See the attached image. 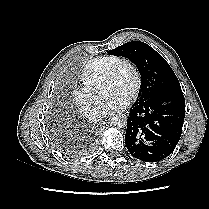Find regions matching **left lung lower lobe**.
<instances>
[{"instance_id":"left-lung-lower-lobe-1","label":"left lung lower lobe","mask_w":209,"mask_h":209,"mask_svg":"<svg viewBox=\"0 0 209 209\" xmlns=\"http://www.w3.org/2000/svg\"><path fill=\"white\" fill-rule=\"evenodd\" d=\"M185 99L181 87L160 92L130 109L125 144L143 162H158L175 149L182 132Z\"/></svg>"}]
</instances>
